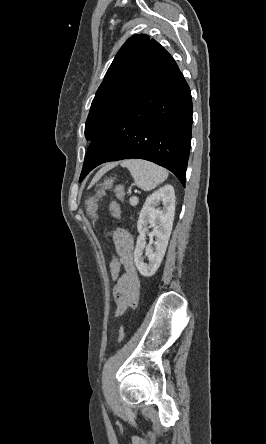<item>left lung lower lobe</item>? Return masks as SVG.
Instances as JSON below:
<instances>
[{
    "instance_id": "obj_1",
    "label": "left lung lower lobe",
    "mask_w": 266,
    "mask_h": 444,
    "mask_svg": "<svg viewBox=\"0 0 266 444\" xmlns=\"http://www.w3.org/2000/svg\"><path fill=\"white\" fill-rule=\"evenodd\" d=\"M191 130V93L177 67L101 129L86 154L80 181L104 162L138 158L167 168L185 186Z\"/></svg>"
}]
</instances>
